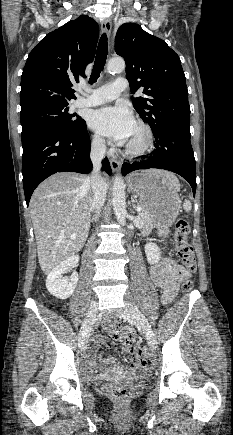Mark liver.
<instances>
[{"label":"liver","mask_w":233,"mask_h":435,"mask_svg":"<svg viewBox=\"0 0 233 435\" xmlns=\"http://www.w3.org/2000/svg\"><path fill=\"white\" fill-rule=\"evenodd\" d=\"M155 171L175 177L164 170ZM29 208L39 265L47 275L86 242L93 210L90 179L77 173H56L36 188ZM72 234L76 238H71Z\"/></svg>","instance_id":"1"}]
</instances>
